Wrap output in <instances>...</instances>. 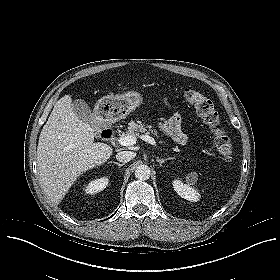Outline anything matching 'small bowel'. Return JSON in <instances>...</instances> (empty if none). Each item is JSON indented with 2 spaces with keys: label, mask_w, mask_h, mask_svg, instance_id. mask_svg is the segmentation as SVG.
Segmentation results:
<instances>
[{
  "label": "small bowel",
  "mask_w": 280,
  "mask_h": 280,
  "mask_svg": "<svg viewBox=\"0 0 280 280\" xmlns=\"http://www.w3.org/2000/svg\"><path fill=\"white\" fill-rule=\"evenodd\" d=\"M181 122V116L177 112L173 113L168 119H158L159 127L163 130V132L178 144L184 145L187 141V136L181 129Z\"/></svg>",
  "instance_id": "obj_1"
}]
</instances>
